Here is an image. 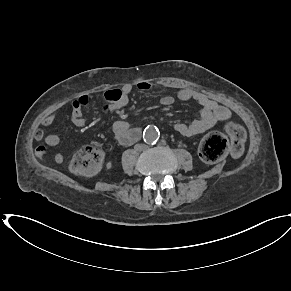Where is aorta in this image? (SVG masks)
I'll return each instance as SVG.
<instances>
[{"label": "aorta", "mask_w": 291, "mask_h": 291, "mask_svg": "<svg viewBox=\"0 0 291 291\" xmlns=\"http://www.w3.org/2000/svg\"><path fill=\"white\" fill-rule=\"evenodd\" d=\"M159 135L160 133L158 128L153 125H149L144 130L143 138L146 143L152 144L158 140Z\"/></svg>", "instance_id": "1"}]
</instances>
